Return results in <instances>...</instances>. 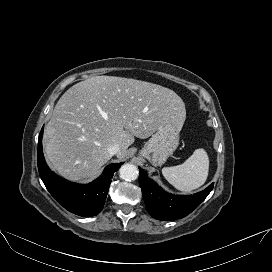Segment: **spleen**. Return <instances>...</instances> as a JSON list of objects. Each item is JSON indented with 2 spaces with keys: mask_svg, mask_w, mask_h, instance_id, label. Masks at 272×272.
I'll return each mask as SVG.
<instances>
[{
  "mask_svg": "<svg viewBox=\"0 0 272 272\" xmlns=\"http://www.w3.org/2000/svg\"><path fill=\"white\" fill-rule=\"evenodd\" d=\"M208 170V155L204 149L200 148L196 149L183 164L164 167L162 174L176 189L190 192L206 182Z\"/></svg>",
  "mask_w": 272,
  "mask_h": 272,
  "instance_id": "spleen-1",
  "label": "spleen"
}]
</instances>
